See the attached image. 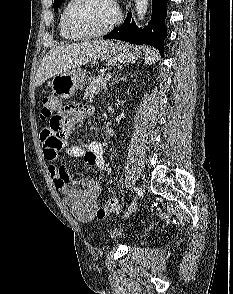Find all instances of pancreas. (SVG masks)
I'll return each instance as SVG.
<instances>
[{
	"instance_id": "1",
	"label": "pancreas",
	"mask_w": 233,
	"mask_h": 294,
	"mask_svg": "<svg viewBox=\"0 0 233 294\" xmlns=\"http://www.w3.org/2000/svg\"><path fill=\"white\" fill-rule=\"evenodd\" d=\"M107 80L105 73H100L88 85L84 92V99H92L100 90L106 89Z\"/></svg>"
}]
</instances>
